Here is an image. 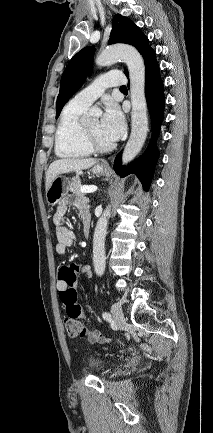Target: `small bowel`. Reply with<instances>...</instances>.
<instances>
[{
    "mask_svg": "<svg viewBox=\"0 0 213 433\" xmlns=\"http://www.w3.org/2000/svg\"><path fill=\"white\" fill-rule=\"evenodd\" d=\"M70 205H74L79 212L80 218H81V225L84 229L85 226L90 227V212L87 205V202L84 199H77L75 201H72L70 198H64L57 206L56 212L53 216V223L56 229V253L58 255H65L68 252V249L73 245L75 240V233L74 231L65 223V216L68 211V208ZM78 274L85 275L86 277L90 278L92 277V269L89 265H78V264H72ZM64 284L61 281H58L57 283V289L59 291H62L64 289ZM98 337L95 340H91L89 337V340L91 342H99V343H105L107 342V338H105L99 331H97Z\"/></svg>",
    "mask_w": 213,
    "mask_h": 433,
    "instance_id": "c3829d8e",
    "label": "small bowel"
}]
</instances>
